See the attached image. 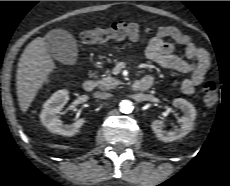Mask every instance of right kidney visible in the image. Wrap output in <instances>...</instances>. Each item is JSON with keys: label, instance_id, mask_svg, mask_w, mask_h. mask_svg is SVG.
I'll list each match as a JSON object with an SVG mask.
<instances>
[{"label": "right kidney", "instance_id": "right-kidney-1", "mask_svg": "<svg viewBox=\"0 0 230 186\" xmlns=\"http://www.w3.org/2000/svg\"><path fill=\"white\" fill-rule=\"evenodd\" d=\"M69 100L67 90H59L55 92L44 104L40 114L41 122L46 128L52 132L64 136L75 135L80 127L85 123L84 118L77 119L73 124H62L57 114Z\"/></svg>", "mask_w": 230, "mask_h": 186}]
</instances>
